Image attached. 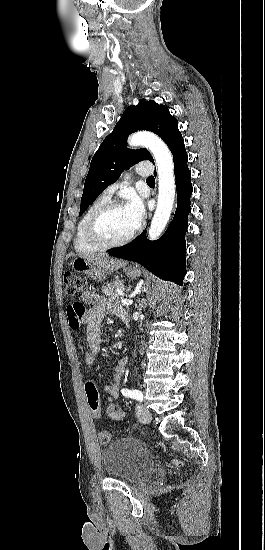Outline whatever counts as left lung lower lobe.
<instances>
[{"instance_id":"left-lung-lower-lobe-1","label":"left lung lower lobe","mask_w":265,"mask_h":550,"mask_svg":"<svg viewBox=\"0 0 265 550\" xmlns=\"http://www.w3.org/2000/svg\"><path fill=\"white\" fill-rule=\"evenodd\" d=\"M177 190V208L173 220L164 235L156 241L146 239L144 231L133 242L109 251L114 257L135 261L164 280L182 285L186 273L185 234L190 197L193 191L191 172L188 169L184 142L172 152Z\"/></svg>"}]
</instances>
